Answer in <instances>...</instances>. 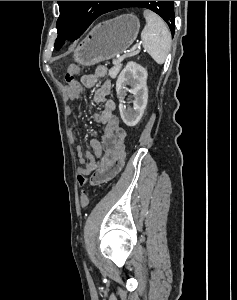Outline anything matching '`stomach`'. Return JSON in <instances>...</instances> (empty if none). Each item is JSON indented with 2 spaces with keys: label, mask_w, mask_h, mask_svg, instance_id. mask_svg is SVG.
Wrapping results in <instances>:
<instances>
[{
  "label": "stomach",
  "mask_w": 237,
  "mask_h": 300,
  "mask_svg": "<svg viewBox=\"0 0 237 300\" xmlns=\"http://www.w3.org/2000/svg\"><path fill=\"white\" fill-rule=\"evenodd\" d=\"M139 29L140 21L136 15H121L116 19L99 23L76 47L73 59L83 67L115 59L132 45Z\"/></svg>",
  "instance_id": "obj_1"
}]
</instances>
